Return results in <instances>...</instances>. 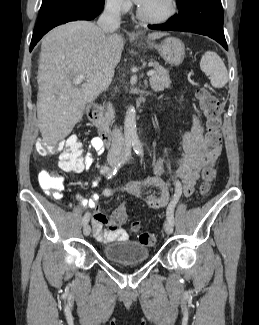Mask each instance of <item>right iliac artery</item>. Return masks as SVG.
I'll return each instance as SVG.
<instances>
[{"instance_id": "1", "label": "right iliac artery", "mask_w": 259, "mask_h": 325, "mask_svg": "<svg viewBox=\"0 0 259 325\" xmlns=\"http://www.w3.org/2000/svg\"><path fill=\"white\" fill-rule=\"evenodd\" d=\"M131 152V142H127V145H126V151H125V157L124 159H122V161L118 162L117 164L115 165H123L124 162L127 160V157L129 156ZM111 168H109L108 166H102L100 168V173L101 174H107V170H110ZM89 218H90V213L87 212L84 217H83V220H82V223L83 225L87 224L89 222Z\"/></svg>"}]
</instances>
